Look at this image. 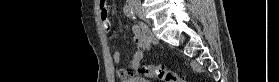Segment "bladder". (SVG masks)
Listing matches in <instances>:
<instances>
[{
  "label": "bladder",
  "instance_id": "obj_1",
  "mask_svg": "<svg viewBox=\"0 0 279 82\" xmlns=\"http://www.w3.org/2000/svg\"><path fill=\"white\" fill-rule=\"evenodd\" d=\"M119 82H150L142 76H132L124 79H120Z\"/></svg>",
  "mask_w": 279,
  "mask_h": 82
}]
</instances>
